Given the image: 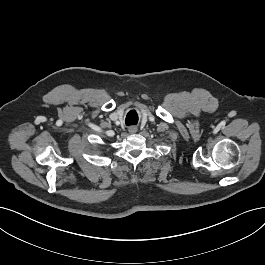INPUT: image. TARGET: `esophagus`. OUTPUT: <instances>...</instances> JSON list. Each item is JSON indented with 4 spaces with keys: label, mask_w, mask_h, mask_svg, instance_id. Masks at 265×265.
<instances>
[{
    "label": "esophagus",
    "mask_w": 265,
    "mask_h": 265,
    "mask_svg": "<svg viewBox=\"0 0 265 265\" xmlns=\"http://www.w3.org/2000/svg\"><path fill=\"white\" fill-rule=\"evenodd\" d=\"M129 133L133 134V133H136L137 132V127L135 126H131L129 129H128Z\"/></svg>",
    "instance_id": "1"
}]
</instances>
